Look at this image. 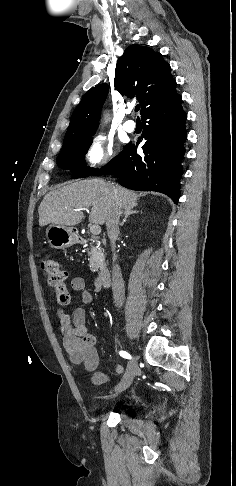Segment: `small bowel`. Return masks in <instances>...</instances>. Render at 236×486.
Segmentation results:
<instances>
[{
  "mask_svg": "<svg viewBox=\"0 0 236 486\" xmlns=\"http://www.w3.org/2000/svg\"><path fill=\"white\" fill-rule=\"evenodd\" d=\"M70 287L74 291L81 292L82 304L74 310L72 315L55 308L63 346L71 361L75 364H82L88 372L92 373V382L95 385H100L107 382L109 376L98 370L97 337L86 326V306L91 303L93 294L81 277L72 278ZM99 288L96 284V289ZM123 371L124 367L121 364L114 366V373L121 374Z\"/></svg>",
  "mask_w": 236,
  "mask_h": 486,
  "instance_id": "1",
  "label": "small bowel"
}]
</instances>
